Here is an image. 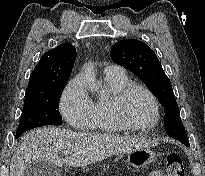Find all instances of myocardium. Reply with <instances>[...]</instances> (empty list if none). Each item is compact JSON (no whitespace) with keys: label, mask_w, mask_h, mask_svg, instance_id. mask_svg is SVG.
<instances>
[{"label":"myocardium","mask_w":205,"mask_h":176,"mask_svg":"<svg viewBox=\"0 0 205 176\" xmlns=\"http://www.w3.org/2000/svg\"><path fill=\"white\" fill-rule=\"evenodd\" d=\"M142 91L144 92L149 99L151 100L154 108V117L151 122L146 124H138L133 122L127 114L126 111V102L128 98L135 92ZM113 110L115 117L119 123L124 127V129L130 130H146L152 127H155L161 118V109L160 103L156 95L145 85L130 83L122 90H120L114 97Z\"/></svg>","instance_id":"myocardium-1"}]
</instances>
